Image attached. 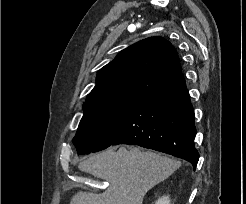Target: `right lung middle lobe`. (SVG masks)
Segmentation results:
<instances>
[{
	"label": "right lung middle lobe",
	"instance_id": "1",
	"mask_svg": "<svg viewBox=\"0 0 246 204\" xmlns=\"http://www.w3.org/2000/svg\"><path fill=\"white\" fill-rule=\"evenodd\" d=\"M135 97L85 102L84 115L72 142L78 154L103 150L111 145Z\"/></svg>",
	"mask_w": 246,
	"mask_h": 204
}]
</instances>
